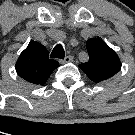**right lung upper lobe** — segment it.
I'll use <instances>...</instances> for the list:
<instances>
[{"label":"right lung upper lobe","instance_id":"cb5924a9","mask_svg":"<svg viewBox=\"0 0 135 135\" xmlns=\"http://www.w3.org/2000/svg\"><path fill=\"white\" fill-rule=\"evenodd\" d=\"M47 49L36 41H31L16 62L17 74L33 85H43L51 73L59 66L56 60L49 59Z\"/></svg>","mask_w":135,"mask_h":135}]
</instances>
